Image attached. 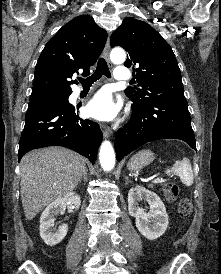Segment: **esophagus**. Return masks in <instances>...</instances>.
I'll list each match as a JSON object with an SVG mask.
<instances>
[{
	"mask_svg": "<svg viewBox=\"0 0 221 274\" xmlns=\"http://www.w3.org/2000/svg\"><path fill=\"white\" fill-rule=\"evenodd\" d=\"M109 53H110V44H109V40H107L104 48V57L108 61L109 66L112 67V63L110 62V59H109ZM100 128L105 137H109L111 135V129L107 125L101 124Z\"/></svg>",
	"mask_w": 221,
	"mask_h": 274,
	"instance_id": "obj_1",
	"label": "esophagus"
}]
</instances>
